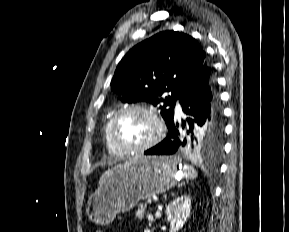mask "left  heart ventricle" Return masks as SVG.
Returning <instances> with one entry per match:
<instances>
[{"instance_id":"b2bd125f","label":"left heart ventricle","mask_w":289,"mask_h":232,"mask_svg":"<svg viewBox=\"0 0 289 232\" xmlns=\"http://www.w3.org/2000/svg\"><path fill=\"white\" fill-rule=\"evenodd\" d=\"M155 131L150 117L140 111H128L120 115L116 123L117 140L126 146H139L148 142Z\"/></svg>"}]
</instances>
